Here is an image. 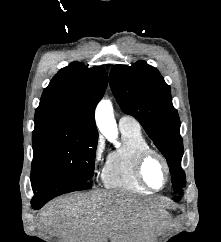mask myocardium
Listing matches in <instances>:
<instances>
[{
    "mask_svg": "<svg viewBox=\"0 0 221 242\" xmlns=\"http://www.w3.org/2000/svg\"><path fill=\"white\" fill-rule=\"evenodd\" d=\"M152 157L158 158L162 162L165 169L166 179H165L164 185L161 188L152 187L145 178L144 168L148 160L151 159ZM135 172H136L137 178L142 183V185H144L147 189L151 191L164 190L168 186L171 180V168L167 158L160 151L150 147L141 151L138 154L136 163H135Z\"/></svg>",
    "mask_w": 221,
    "mask_h": 242,
    "instance_id": "1",
    "label": "myocardium"
}]
</instances>
